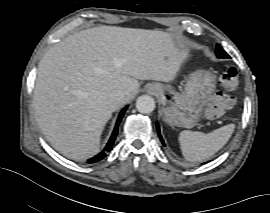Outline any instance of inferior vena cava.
<instances>
[{
    "mask_svg": "<svg viewBox=\"0 0 270 213\" xmlns=\"http://www.w3.org/2000/svg\"><path fill=\"white\" fill-rule=\"evenodd\" d=\"M125 92L119 89L113 90L110 93V100L112 102H117V103H124L125 102Z\"/></svg>",
    "mask_w": 270,
    "mask_h": 213,
    "instance_id": "1",
    "label": "inferior vena cava"
}]
</instances>
